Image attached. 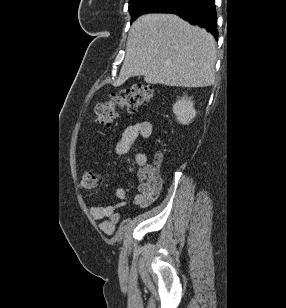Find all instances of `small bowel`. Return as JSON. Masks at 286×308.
<instances>
[{
  "instance_id": "1",
  "label": "small bowel",
  "mask_w": 286,
  "mask_h": 308,
  "mask_svg": "<svg viewBox=\"0 0 286 308\" xmlns=\"http://www.w3.org/2000/svg\"><path fill=\"white\" fill-rule=\"evenodd\" d=\"M152 134L153 126L148 121L137 122L128 126L115 147L116 154L120 156L126 154L135 139L150 138ZM135 163L139 168V185L138 194L134 198L133 204L138 208L144 209L151 206L157 200L162 188V179L151 175V172L160 163V156L156 158L155 164H150L144 152H137L135 154ZM115 196L119 201L115 205H98L89 208L90 215L100 221L99 227L105 234H112L120 221L117 209L126 204V189L118 187L115 190Z\"/></svg>"
}]
</instances>
